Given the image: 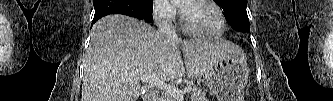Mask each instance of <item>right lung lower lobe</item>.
I'll use <instances>...</instances> for the list:
<instances>
[{"mask_svg":"<svg viewBox=\"0 0 333 101\" xmlns=\"http://www.w3.org/2000/svg\"><path fill=\"white\" fill-rule=\"evenodd\" d=\"M95 15L92 25L109 14H124L152 22V14L145 9L140 0H93Z\"/></svg>","mask_w":333,"mask_h":101,"instance_id":"right-lung-lower-lobe-1","label":"right lung lower lobe"}]
</instances>
